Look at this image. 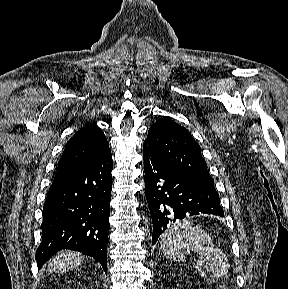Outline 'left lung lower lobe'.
<instances>
[{
	"label": "left lung lower lobe",
	"instance_id": "left-lung-lower-lobe-1",
	"mask_svg": "<svg viewBox=\"0 0 288 289\" xmlns=\"http://www.w3.org/2000/svg\"><path fill=\"white\" fill-rule=\"evenodd\" d=\"M145 195L152 221V244L172 222L200 213L224 216L213 186L192 179L157 159L143 144Z\"/></svg>",
	"mask_w": 288,
	"mask_h": 289
}]
</instances>
